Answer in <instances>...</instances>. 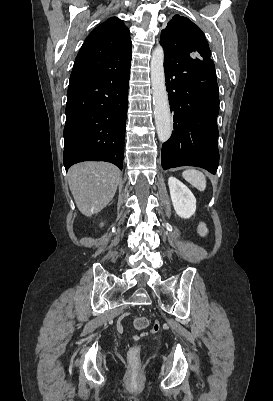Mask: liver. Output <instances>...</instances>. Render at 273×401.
<instances>
[{
	"instance_id": "liver-1",
	"label": "liver",
	"mask_w": 273,
	"mask_h": 401,
	"mask_svg": "<svg viewBox=\"0 0 273 401\" xmlns=\"http://www.w3.org/2000/svg\"><path fill=\"white\" fill-rule=\"evenodd\" d=\"M120 174L110 162H80L69 168V188L82 215L100 213L112 201Z\"/></svg>"
}]
</instances>
